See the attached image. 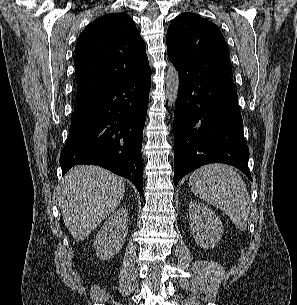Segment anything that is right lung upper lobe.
Wrapping results in <instances>:
<instances>
[{"label": "right lung upper lobe", "instance_id": "obj_1", "mask_svg": "<svg viewBox=\"0 0 297 305\" xmlns=\"http://www.w3.org/2000/svg\"><path fill=\"white\" fill-rule=\"evenodd\" d=\"M149 68L145 43L131 17H99L83 30L75 47L76 103Z\"/></svg>", "mask_w": 297, "mask_h": 305}]
</instances>
